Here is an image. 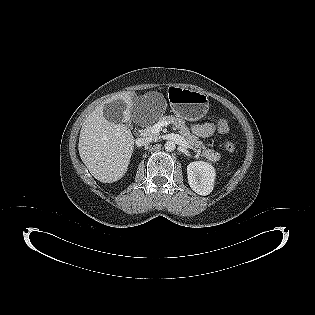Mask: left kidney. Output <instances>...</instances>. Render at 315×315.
<instances>
[{"label": "left kidney", "instance_id": "5707ae66", "mask_svg": "<svg viewBox=\"0 0 315 315\" xmlns=\"http://www.w3.org/2000/svg\"><path fill=\"white\" fill-rule=\"evenodd\" d=\"M188 183L192 190L199 195H208L213 190L215 169L212 165L203 162H191L187 166Z\"/></svg>", "mask_w": 315, "mask_h": 315}]
</instances>
